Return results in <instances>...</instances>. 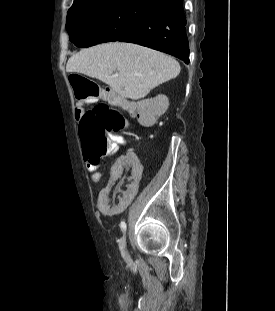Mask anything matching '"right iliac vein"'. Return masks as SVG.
Returning <instances> with one entry per match:
<instances>
[{
  "label": "right iliac vein",
  "mask_w": 275,
  "mask_h": 311,
  "mask_svg": "<svg viewBox=\"0 0 275 311\" xmlns=\"http://www.w3.org/2000/svg\"><path fill=\"white\" fill-rule=\"evenodd\" d=\"M119 248H120V251H121V254L122 256L125 258V259H128L129 258V255H128V252L126 250V236H124L120 243H119Z\"/></svg>",
  "instance_id": "63e3f726"
}]
</instances>
